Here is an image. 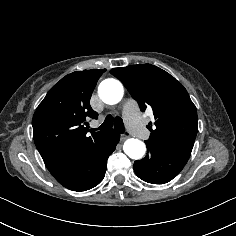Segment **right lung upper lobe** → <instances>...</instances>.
Wrapping results in <instances>:
<instances>
[{
    "instance_id": "right-lung-upper-lobe-1",
    "label": "right lung upper lobe",
    "mask_w": 236,
    "mask_h": 236,
    "mask_svg": "<svg viewBox=\"0 0 236 236\" xmlns=\"http://www.w3.org/2000/svg\"><path fill=\"white\" fill-rule=\"evenodd\" d=\"M105 71L91 69L66 75L37 107L32 119L33 137L45 164L95 143L111 131H98L90 137L84 126L89 117H98L89 102Z\"/></svg>"
}]
</instances>
